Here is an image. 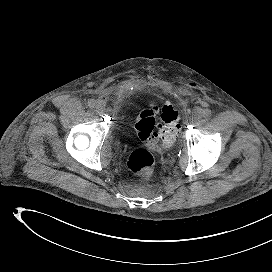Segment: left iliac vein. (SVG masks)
Instances as JSON below:
<instances>
[{"instance_id":"left-iliac-vein-1","label":"left iliac vein","mask_w":272,"mask_h":272,"mask_svg":"<svg viewBox=\"0 0 272 272\" xmlns=\"http://www.w3.org/2000/svg\"><path fill=\"white\" fill-rule=\"evenodd\" d=\"M202 112L203 110L201 108H198L196 114L189 118L190 122H196L201 117Z\"/></svg>"}]
</instances>
